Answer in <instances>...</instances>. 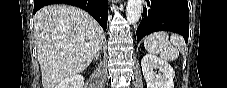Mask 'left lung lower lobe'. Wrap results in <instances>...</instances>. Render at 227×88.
<instances>
[{
	"label": "left lung lower lobe",
	"mask_w": 227,
	"mask_h": 88,
	"mask_svg": "<svg viewBox=\"0 0 227 88\" xmlns=\"http://www.w3.org/2000/svg\"><path fill=\"white\" fill-rule=\"evenodd\" d=\"M179 33L188 41L189 13L187 0H146L142 21L137 28V42L154 31Z\"/></svg>",
	"instance_id": "0a47b994"
}]
</instances>
